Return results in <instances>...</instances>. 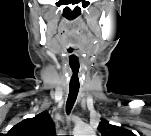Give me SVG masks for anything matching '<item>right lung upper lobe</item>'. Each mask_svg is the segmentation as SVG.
<instances>
[{
    "label": "right lung upper lobe",
    "instance_id": "1",
    "mask_svg": "<svg viewBox=\"0 0 151 136\" xmlns=\"http://www.w3.org/2000/svg\"><path fill=\"white\" fill-rule=\"evenodd\" d=\"M13 136H55V127L47 112L28 118L16 124L11 130Z\"/></svg>",
    "mask_w": 151,
    "mask_h": 136
}]
</instances>
